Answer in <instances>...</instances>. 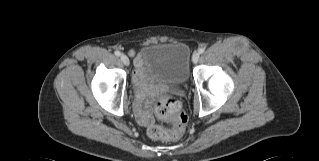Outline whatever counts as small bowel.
I'll use <instances>...</instances> for the list:
<instances>
[{"label": "small bowel", "instance_id": "small-bowel-1", "mask_svg": "<svg viewBox=\"0 0 319 161\" xmlns=\"http://www.w3.org/2000/svg\"><path fill=\"white\" fill-rule=\"evenodd\" d=\"M132 54H133V51L130 52V55H132ZM133 81L138 87L143 88L144 75H143V72L141 70V63H140L139 59H136V61H135V70L133 73ZM144 98H145V94L141 93V99H144Z\"/></svg>", "mask_w": 319, "mask_h": 161}]
</instances>
